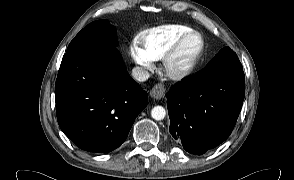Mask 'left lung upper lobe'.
Listing matches in <instances>:
<instances>
[{"label":"left lung upper lobe","mask_w":294,"mask_h":180,"mask_svg":"<svg viewBox=\"0 0 294 180\" xmlns=\"http://www.w3.org/2000/svg\"><path fill=\"white\" fill-rule=\"evenodd\" d=\"M222 68H242L238 56L229 47H224L207 64L205 69L197 74V77L203 78L211 72Z\"/></svg>","instance_id":"5c2ea615"}]
</instances>
